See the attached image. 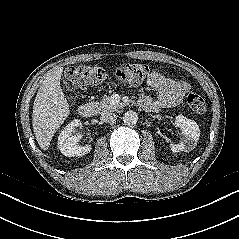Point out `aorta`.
Listing matches in <instances>:
<instances>
[{
	"mask_svg": "<svg viewBox=\"0 0 239 239\" xmlns=\"http://www.w3.org/2000/svg\"><path fill=\"white\" fill-rule=\"evenodd\" d=\"M123 121L126 125H134L138 121V115L135 111L129 110L125 112Z\"/></svg>",
	"mask_w": 239,
	"mask_h": 239,
	"instance_id": "aorta-1",
	"label": "aorta"
}]
</instances>
